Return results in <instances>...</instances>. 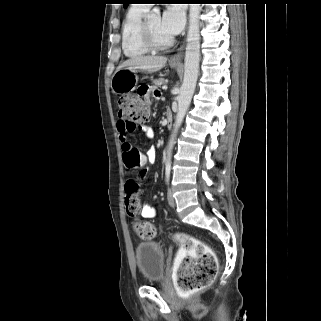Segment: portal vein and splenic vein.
Returning <instances> with one entry per match:
<instances>
[{"label": "portal vein and splenic vein", "mask_w": 321, "mask_h": 321, "mask_svg": "<svg viewBox=\"0 0 321 321\" xmlns=\"http://www.w3.org/2000/svg\"><path fill=\"white\" fill-rule=\"evenodd\" d=\"M162 89H163V90H167V86L164 85V86L162 87Z\"/></svg>", "instance_id": "1"}]
</instances>
